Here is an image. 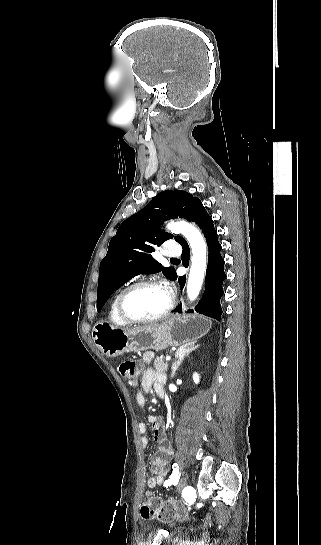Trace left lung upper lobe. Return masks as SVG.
Returning <instances> with one entry per match:
<instances>
[{"mask_svg": "<svg viewBox=\"0 0 321 545\" xmlns=\"http://www.w3.org/2000/svg\"><path fill=\"white\" fill-rule=\"evenodd\" d=\"M202 205L197 197L181 190H167L157 194L142 210L126 219L111 239L107 255L101 261L97 290L98 311L112 293L139 274L162 271L172 278L173 267L163 268L151 255L172 234L161 230L164 220L185 218L191 220ZM177 242L183 240L175 236Z\"/></svg>", "mask_w": 321, "mask_h": 545, "instance_id": "obj_1", "label": "left lung upper lobe"}]
</instances>
